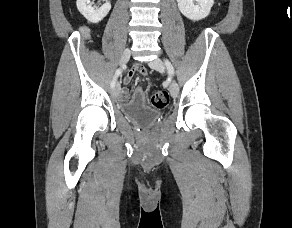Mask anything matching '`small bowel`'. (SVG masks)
<instances>
[{
    "instance_id": "small-bowel-1",
    "label": "small bowel",
    "mask_w": 292,
    "mask_h": 228,
    "mask_svg": "<svg viewBox=\"0 0 292 228\" xmlns=\"http://www.w3.org/2000/svg\"><path fill=\"white\" fill-rule=\"evenodd\" d=\"M136 74H139L144 77L147 75V70L143 65L135 64L124 78V83L128 84ZM120 99L123 102L130 101L133 104L142 105L145 103V91L142 87H137L133 91L132 95H130L129 90L124 88L121 91Z\"/></svg>"
}]
</instances>
